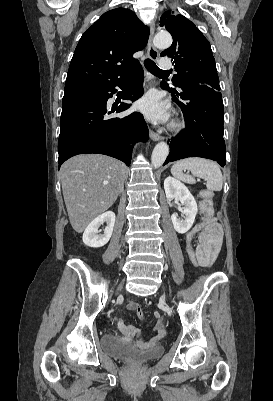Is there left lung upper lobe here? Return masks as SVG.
I'll list each match as a JSON object with an SVG mask.
<instances>
[{
    "label": "left lung upper lobe",
    "mask_w": 273,
    "mask_h": 401,
    "mask_svg": "<svg viewBox=\"0 0 273 401\" xmlns=\"http://www.w3.org/2000/svg\"><path fill=\"white\" fill-rule=\"evenodd\" d=\"M160 26L173 37L172 45L161 56L172 58L176 75L166 87L186 85H206L220 90L215 59L209 41L186 17L166 11L160 18Z\"/></svg>",
    "instance_id": "left-lung-upper-lobe-1"
}]
</instances>
